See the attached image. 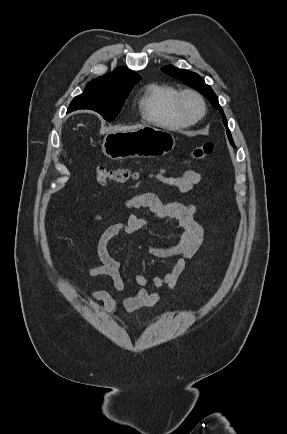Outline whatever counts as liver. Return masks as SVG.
<instances>
[{
	"label": "liver",
	"mask_w": 287,
	"mask_h": 434,
	"mask_svg": "<svg viewBox=\"0 0 287 434\" xmlns=\"http://www.w3.org/2000/svg\"><path fill=\"white\" fill-rule=\"evenodd\" d=\"M140 127H142V125L126 126V127L113 129L112 131H131Z\"/></svg>",
	"instance_id": "obj_1"
}]
</instances>
